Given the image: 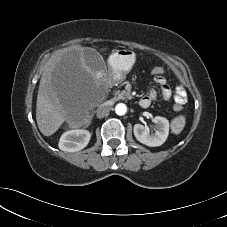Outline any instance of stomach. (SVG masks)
Instances as JSON below:
<instances>
[{
    "instance_id": "0dacf381",
    "label": "stomach",
    "mask_w": 227,
    "mask_h": 227,
    "mask_svg": "<svg viewBox=\"0 0 227 227\" xmlns=\"http://www.w3.org/2000/svg\"><path fill=\"white\" fill-rule=\"evenodd\" d=\"M135 62V53L131 50L121 49L114 51L108 60L111 72L115 76V81L124 80Z\"/></svg>"
}]
</instances>
